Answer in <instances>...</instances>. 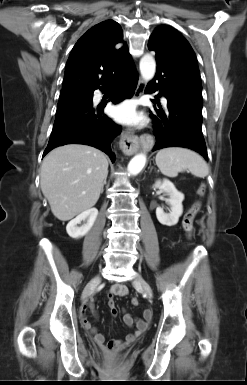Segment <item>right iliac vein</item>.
Masks as SVG:
<instances>
[{"label": "right iliac vein", "mask_w": 247, "mask_h": 385, "mask_svg": "<svg viewBox=\"0 0 247 385\" xmlns=\"http://www.w3.org/2000/svg\"><path fill=\"white\" fill-rule=\"evenodd\" d=\"M100 280H101L100 276H96L86 285V287L82 293V296H81V299L83 302L87 300V298L89 297L91 292L100 283Z\"/></svg>", "instance_id": "obj_1"}]
</instances>
